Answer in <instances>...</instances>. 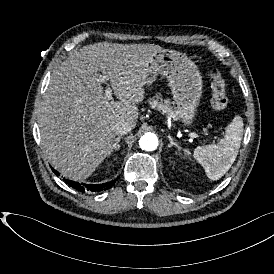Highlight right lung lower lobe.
I'll list each match as a JSON object with an SVG mask.
<instances>
[{
	"mask_svg": "<svg viewBox=\"0 0 274 274\" xmlns=\"http://www.w3.org/2000/svg\"><path fill=\"white\" fill-rule=\"evenodd\" d=\"M53 171L58 174L57 171H55L53 169ZM117 180V179H116ZM64 181L70 185L71 187H73L74 189L80 191V192H85V191H91V192H99V191H102V190H107V189H110L114 183H115V180H112L110 182H107V183H103V184H97V185H93V184H80L78 182H74V181H71V180H67V179H64Z\"/></svg>",
	"mask_w": 274,
	"mask_h": 274,
	"instance_id": "obj_1",
	"label": "right lung lower lobe"
}]
</instances>
